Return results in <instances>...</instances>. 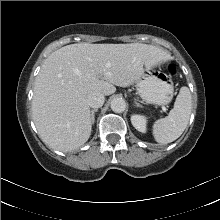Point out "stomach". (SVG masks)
Here are the masks:
<instances>
[{"label":"stomach","instance_id":"stomach-1","mask_svg":"<svg viewBox=\"0 0 220 220\" xmlns=\"http://www.w3.org/2000/svg\"><path fill=\"white\" fill-rule=\"evenodd\" d=\"M136 87L143 100L157 106L168 105L173 98L171 78L161 71L146 69L136 81Z\"/></svg>","mask_w":220,"mask_h":220}]
</instances>
